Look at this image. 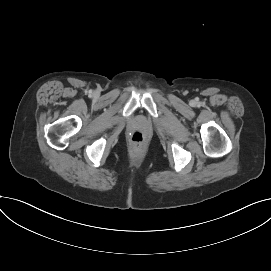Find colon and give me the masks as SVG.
I'll return each instance as SVG.
<instances>
[{
  "label": "colon",
  "mask_w": 271,
  "mask_h": 271,
  "mask_svg": "<svg viewBox=\"0 0 271 271\" xmlns=\"http://www.w3.org/2000/svg\"><path fill=\"white\" fill-rule=\"evenodd\" d=\"M131 141L134 145L140 146L144 142V135L140 131H135L131 135Z\"/></svg>",
  "instance_id": "obj_1"
}]
</instances>
